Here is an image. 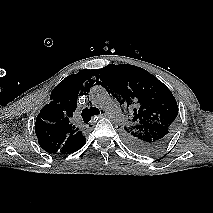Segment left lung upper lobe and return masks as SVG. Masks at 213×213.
I'll use <instances>...</instances> for the list:
<instances>
[{
	"label": "left lung upper lobe",
	"instance_id": "1",
	"mask_svg": "<svg viewBox=\"0 0 213 213\" xmlns=\"http://www.w3.org/2000/svg\"><path fill=\"white\" fill-rule=\"evenodd\" d=\"M96 76L100 79L97 83L105 87L120 106L132 110L121 131L130 148L152 153L171 140L177 126L178 106L166 85L143 68L127 64L112 63L98 69Z\"/></svg>",
	"mask_w": 213,
	"mask_h": 213
}]
</instances>
